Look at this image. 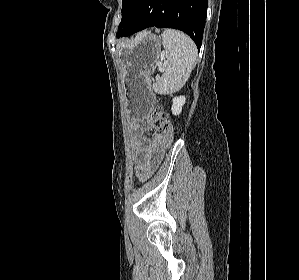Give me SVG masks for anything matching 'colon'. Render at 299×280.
Wrapping results in <instances>:
<instances>
[{"label": "colon", "mask_w": 299, "mask_h": 280, "mask_svg": "<svg viewBox=\"0 0 299 280\" xmlns=\"http://www.w3.org/2000/svg\"><path fill=\"white\" fill-rule=\"evenodd\" d=\"M149 120L166 135L168 144H170L173 139V127L167 113L161 106H157L151 111Z\"/></svg>", "instance_id": "5ec220e1"}]
</instances>
